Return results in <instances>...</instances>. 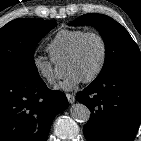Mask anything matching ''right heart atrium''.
Segmentation results:
<instances>
[{
	"label": "right heart atrium",
	"instance_id": "obj_1",
	"mask_svg": "<svg viewBox=\"0 0 141 141\" xmlns=\"http://www.w3.org/2000/svg\"><path fill=\"white\" fill-rule=\"evenodd\" d=\"M32 65L37 75L47 84L53 85L57 81V72L54 66V60L42 55H34Z\"/></svg>",
	"mask_w": 141,
	"mask_h": 141
}]
</instances>
